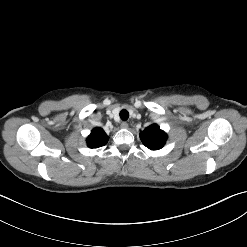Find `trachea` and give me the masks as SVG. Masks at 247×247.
Here are the masks:
<instances>
[{"label":"trachea","instance_id":"3493384b","mask_svg":"<svg viewBox=\"0 0 247 247\" xmlns=\"http://www.w3.org/2000/svg\"><path fill=\"white\" fill-rule=\"evenodd\" d=\"M120 118L123 120V121H126L128 118H129V113L127 110L123 109L120 111Z\"/></svg>","mask_w":247,"mask_h":247}]
</instances>
